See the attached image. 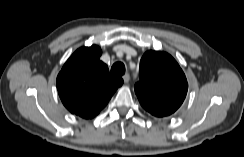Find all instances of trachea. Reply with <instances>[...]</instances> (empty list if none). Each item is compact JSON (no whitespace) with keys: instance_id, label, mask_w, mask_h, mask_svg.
<instances>
[{"instance_id":"1","label":"trachea","mask_w":244,"mask_h":157,"mask_svg":"<svg viewBox=\"0 0 244 157\" xmlns=\"http://www.w3.org/2000/svg\"><path fill=\"white\" fill-rule=\"evenodd\" d=\"M111 73L122 76L125 73V65L122 62H116L111 67Z\"/></svg>"}]
</instances>
